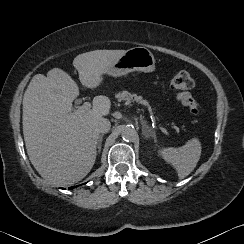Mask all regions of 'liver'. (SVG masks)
I'll list each match as a JSON object with an SVG mask.
<instances>
[{
	"instance_id": "liver-1",
	"label": "liver",
	"mask_w": 244,
	"mask_h": 244,
	"mask_svg": "<svg viewBox=\"0 0 244 244\" xmlns=\"http://www.w3.org/2000/svg\"><path fill=\"white\" fill-rule=\"evenodd\" d=\"M125 50H94L79 54L73 66L84 87L97 88L113 62ZM79 86L62 69L47 76L35 75L23 98V134L27 154L38 173L50 182L65 185L82 180L92 169L99 133L95 122L109 114L110 100L97 96L93 109L70 113Z\"/></svg>"
}]
</instances>
